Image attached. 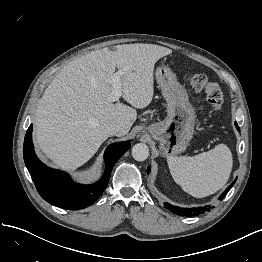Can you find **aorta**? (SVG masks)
Instances as JSON below:
<instances>
[{
    "instance_id": "762f6f07",
    "label": "aorta",
    "mask_w": 262,
    "mask_h": 262,
    "mask_svg": "<svg viewBox=\"0 0 262 262\" xmlns=\"http://www.w3.org/2000/svg\"><path fill=\"white\" fill-rule=\"evenodd\" d=\"M132 156L136 161H144L149 156V149L146 144L138 143L132 148Z\"/></svg>"
}]
</instances>
